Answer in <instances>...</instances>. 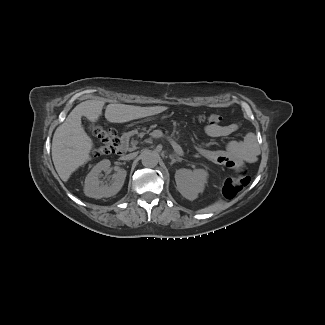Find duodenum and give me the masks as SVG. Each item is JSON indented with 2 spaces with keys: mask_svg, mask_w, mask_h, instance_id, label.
Returning <instances> with one entry per match:
<instances>
[{
  "mask_svg": "<svg viewBox=\"0 0 325 325\" xmlns=\"http://www.w3.org/2000/svg\"><path fill=\"white\" fill-rule=\"evenodd\" d=\"M128 149V136L123 135L119 138L115 145V152L119 156H124Z\"/></svg>",
  "mask_w": 325,
  "mask_h": 325,
  "instance_id": "1",
  "label": "duodenum"
}]
</instances>
